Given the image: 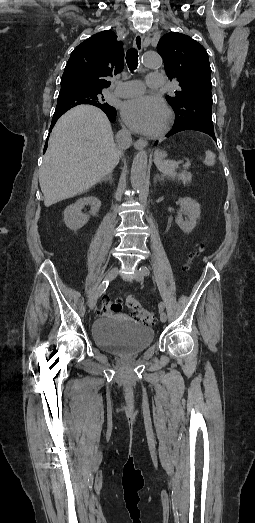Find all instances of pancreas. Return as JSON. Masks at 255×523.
I'll use <instances>...</instances> for the list:
<instances>
[{"label":"pancreas","mask_w":255,"mask_h":523,"mask_svg":"<svg viewBox=\"0 0 255 523\" xmlns=\"http://www.w3.org/2000/svg\"><path fill=\"white\" fill-rule=\"evenodd\" d=\"M191 174H187V176H184L183 180H186V182H191Z\"/></svg>","instance_id":"pancreas-1"}]
</instances>
